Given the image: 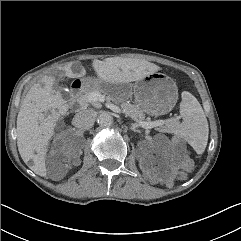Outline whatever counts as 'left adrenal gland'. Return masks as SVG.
I'll use <instances>...</instances> for the list:
<instances>
[{
  "mask_svg": "<svg viewBox=\"0 0 241 241\" xmlns=\"http://www.w3.org/2000/svg\"><path fill=\"white\" fill-rule=\"evenodd\" d=\"M130 129L133 130L134 132H140L135 125H132Z\"/></svg>",
  "mask_w": 241,
  "mask_h": 241,
  "instance_id": "left-adrenal-gland-1",
  "label": "left adrenal gland"
}]
</instances>
